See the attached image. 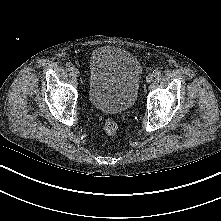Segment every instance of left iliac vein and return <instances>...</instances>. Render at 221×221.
Here are the masks:
<instances>
[{"instance_id": "4c4485c4", "label": "left iliac vein", "mask_w": 221, "mask_h": 221, "mask_svg": "<svg viewBox=\"0 0 221 221\" xmlns=\"http://www.w3.org/2000/svg\"><path fill=\"white\" fill-rule=\"evenodd\" d=\"M153 75H148L147 77H146V82L147 83H151L152 81H153Z\"/></svg>"}]
</instances>
